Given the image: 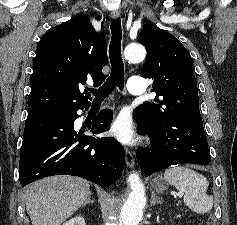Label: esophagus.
Wrapping results in <instances>:
<instances>
[{"label": "esophagus", "instance_id": "obj_1", "mask_svg": "<svg viewBox=\"0 0 237 225\" xmlns=\"http://www.w3.org/2000/svg\"><path fill=\"white\" fill-rule=\"evenodd\" d=\"M111 17L113 19L119 18L120 17V12L118 10H113L111 12ZM125 157H126V164L130 168H134L135 167V159H134V156H133L132 152L127 147L125 148Z\"/></svg>", "mask_w": 237, "mask_h": 225}]
</instances>
